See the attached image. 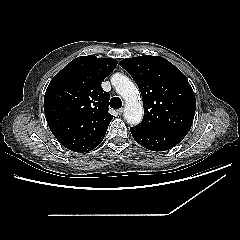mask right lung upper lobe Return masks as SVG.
<instances>
[{"label":"right lung upper lobe","instance_id":"right-lung-upper-lobe-1","mask_svg":"<svg viewBox=\"0 0 240 240\" xmlns=\"http://www.w3.org/2000/svg\"><path fill=\"white\" fill-rule=\"evenodd\" d=\"M115 59L93 55L72 60L49 83L44 112L53 135L75 152L93 150L104 139L113 116L102 81L115 69Z\"/></svg>","mask_w":240,"mask_h":240}]
</instances>
